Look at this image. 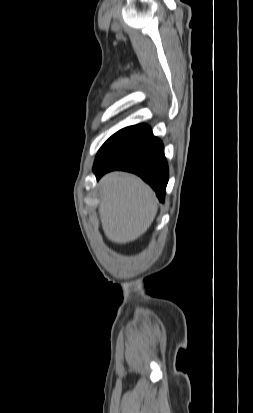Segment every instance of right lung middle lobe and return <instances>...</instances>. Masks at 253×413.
I'll return each instance as SVG.
<instances>
[{
	"instance_id": "dd1d6c3e",
	"label": "right lung middle lobe",
	"mask_w": 253,
	"mask_h": 413,
	"mask_svg": "<svg viewBox=\"0 0 253 413\" xmlns=\"http://www.w3.org/2000/svg\"><path fill=\"white\" fill-rule=\"evenodd\" d=\"M150 133H152L150 127L142 124L129 126L118 131L112 135L99 149L94 166L105 161L114 153L128 147L140 139H143Z\"/></svg>"
}]
</instances>
